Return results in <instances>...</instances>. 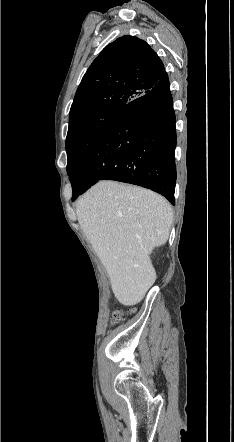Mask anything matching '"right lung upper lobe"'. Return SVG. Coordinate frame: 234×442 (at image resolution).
Wrapping results in <instances>:
<instances>
[{
	"mask_svg": "<svg viewBox=\"0 0 234 442\" xmlns=\"http://www.w3.org/2000/svg\"><path fill=\"white\" fill-rule=\"evenodd\" d=\"M164 65L143 40L125 35L107 45L86 71L70 109L69 122L111 108H121L152 89Z\"/></svg>",
	"mask_w": 234,
	"mask_h": 442,
	"instance_id": "cb5924a9",
	"label": "right lung upper lobe"
}]
</instances>
